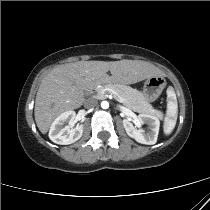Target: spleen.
Listing matches in <instances>:
<instances>
[{
  "label": "spleen",
  "instance_id": "1",
  "mask_svg": "<svg viewBox=\"0 0 210 210\" xmlns=\"http://www.w3.org/2000/svg\"><path fill=\"white\" fill-rule=\"evenodd\" d=\"M167 97H168V102H167V110H166V117L164 119V133L166 135H169L177 121V114H178V104H177V98L175 91L172 87H169L167 89Z\"/></svg>",
  "mask_w": 210,
  "mask_h": 210
}]
</instances>
